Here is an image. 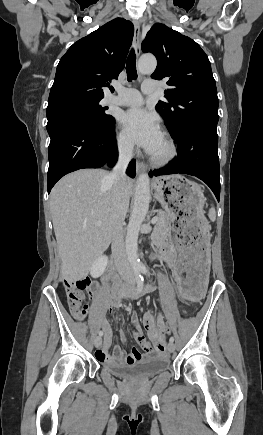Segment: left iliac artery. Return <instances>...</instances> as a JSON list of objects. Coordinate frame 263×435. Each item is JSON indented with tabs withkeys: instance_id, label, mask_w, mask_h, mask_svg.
<instances>
[{
	"instance_id": "1",
	"label": "left iliac artery",
	"mask_w": 263,
	"mask_h": 435,
	"mask_svg": "<svg viewBox=\"0 0 263 435\" xmlns=\"http://www.w3.org/2000/svg\"><path fill=\"white\" fill-rule=\"evenodd\" d=\"M139 269H140V271L143 274H147L148 273L147 268L144 265H140ZM169 341L173 343L174 342V337H170Z\"/></svg>"
}]
</instances>
